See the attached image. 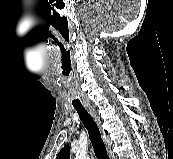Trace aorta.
<instances>
[{
  "instance_id": "obj_1",
  "label": "aorta",
  "mask_w": 173,
  "mask_h": 159,
  "mask_svg": "<svg viewBox=\"0 0 173 159\" xmlns=\"http://www.w3.org/2000/svg\"><path fill=\"white\" fill-rule=\"evenodd\" d=\"M75 159H89L86 154L82 151L76 153Z\"/></svg>"
}]
</instances>
